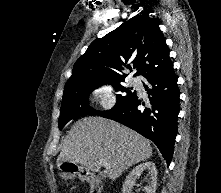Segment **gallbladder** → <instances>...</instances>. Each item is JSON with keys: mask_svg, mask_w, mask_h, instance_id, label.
<instances>
[{"mask_svg": "<svg viewBox=\"0 0 221 193\" xmlns=\"http://www.w3.org/2000/svg\"><path fill=\"white\" fill-rule=\"evenodd\" d=\"M100 177H101V178H104V177H106V175L103 174V173H101V174H100Z\"/></svg>", "mask_w": 221, "mask_h": 193, "instance_id": "bac80fb5", "label": "gallbladder"}]
</instances>
